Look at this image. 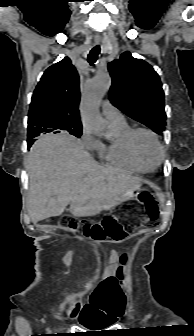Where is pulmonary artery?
<instances>
[{"mask_svg": "<svg viewBox=\"0 0 194 336\" xmlns=\"http://www.w3.org/2000/svg\"><path fill=\"white\" fill-rule=\"evenodd\" d=\"M101 108L104 117L110 124H121L125 122V118L121 112L108 100L102 102Z\"/></svg>", "mask_w": 194, "mask_h": 336, "instance_id": "obj_1", "label": "pulmonary artery"}]
</instances>
